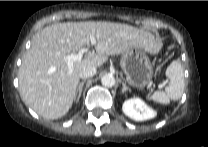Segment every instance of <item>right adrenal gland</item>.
<instances>
[{
    "instance_id": "right-adrenal-gland-1",
    "label": "right adrenal gland",
    "mask_w": 208,
    "mask_h": 147,
    "mask_svg": "<svg viewBox=\"0 0 208 147\" xmlns=\"http://www.w3.org/2000/svg\"><path fill=\"white\" fill-rule=\"evenodd\" d=\"M85 82H86V79H84L82 82H80L77 89H76V93H75V97H77L76 102H78L81 97L82 89H83Z\"/></svg>"
}]
</instances>
